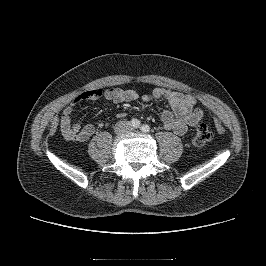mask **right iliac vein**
<instances>
[{"label": "right iliac vein", "instance_id": "1", "mask_svg": "<svg viewBox=\"0 0 266 266\" xmlns=\"http://www.w3.org/2000/svg\"><path fill=\"white\" fill-rule=\"evenodd\" d=\"M126 130H127V127H126L125 124H121L120 127H119V129H118V131L120 133H124Z\"/></svg>", "mask_w": 266, "mask_h": 266}]
</instances>
